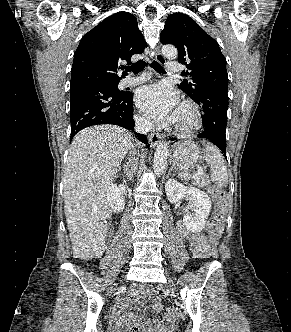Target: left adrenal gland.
I'll return each instance as SVG.
<instances>
[{"mask_svg":"<svg viewBox=\"0 0 291 332\" xmlns=\"http://www.w3.org/2000/svg\"><path fill=\"white\" fill-rule=\"evenodd\" d=\"M171 175V171L168 172V176Z\"/></svg>","mask_w":291,"mask_h":332,"instance_id":"left-adrenal-gland-1","label":"left adrenal gland"}]
</instances>
